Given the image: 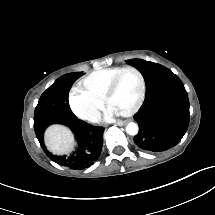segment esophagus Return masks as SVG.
Masks as SVG:
<instances>
[{
	"label": "esophagus",
	"mask_w": 215,
	"mask_h": 215,
	"mask_svg": "<svg viewBox=\"0 0 215 215\" xmlns=\"http://www.w3.org/2000/svg\"><path fill=\"white\" fill-rule=\"evenodd\" d=\"M130 121L131 120H124V121L120 122L119 125H121V126L126 125Z\"/></svg>",
	"instance_id": "1"
}]
</instances>
